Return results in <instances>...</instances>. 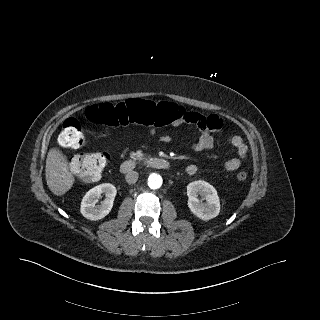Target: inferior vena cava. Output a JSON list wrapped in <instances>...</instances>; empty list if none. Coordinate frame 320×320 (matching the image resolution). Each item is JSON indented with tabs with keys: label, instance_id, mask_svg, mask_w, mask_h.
<instances>
[{
	"label": "inferior vena cava",
	"instance_id": "inferior-vena-cava-1",
	"mask_svg": "<svg viewBox=\"0 0 320 320\" xmlns=\"http://www.w3.org/2000/svg\"><path fill=\"white\" fill-rule=\"evenodd\" d=\"M138 176H139L138 172L130 171L125 176L126 182L129 184H134L138 180Z\"/></svg>",
	"mask_w": 320,
	"mask_h": 320
}]
</instances>
